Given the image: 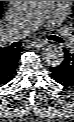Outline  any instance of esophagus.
<instances>
[{"label": "esophagus", "instance_id": "esophagus-1", "mask_svg": "<svg viewBox=\"0 0 74 122\" xmlns=\"http://www.w3.org/2000/svg\"><path fill=\"white\" fill-rule=\"evenodd\" d=\"M46 44H47L46 41H44V40H39V41L33 42V43H32V46H33V47H37V48H41V47L45 46Z\"/></svg>", "mask_w": 74, "mask_h": 122}]
</instances>
